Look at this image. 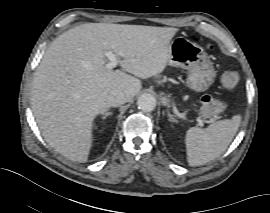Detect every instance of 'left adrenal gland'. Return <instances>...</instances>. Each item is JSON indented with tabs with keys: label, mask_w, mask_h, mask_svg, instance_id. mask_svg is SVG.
<instances>
[{
	"label": "left adrenal gland",
	"mask_w": 270,
	"mask_h": 213,
	"mask_svg": "<svg viewBox=\"0 0 270 213\" xmlns=\"http://www.w3.org/2000/svg\"><path fill=\"white\" fill-rule=\"evenodd\" d=\"M168 116H169V120H170L171 122H176V120L172 117L171 114H168Z\"/></svg>",
	"instance_id": "1"
}]
</instances>
